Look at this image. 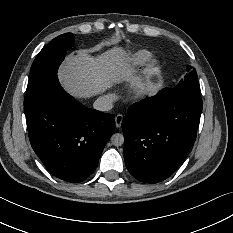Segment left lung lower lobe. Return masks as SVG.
<instances>
[{
	"label": "left lung lower lobe",
	"instance_id": "1",
	"mask_svg": "<svg viewBox=\"0 0 233 233\" xmlns=\"http://www.w3.org/2000/svg\"><path fill=\"white\" fill-rule=\"evenodd\" d=\"M202 108L201 98L163 90L131 105L122 122L130 174L152 184L168 178L196 139Z\"/></svg>",
	"mask_w": 233,
	"mask_h": 233
}]
</instances>
